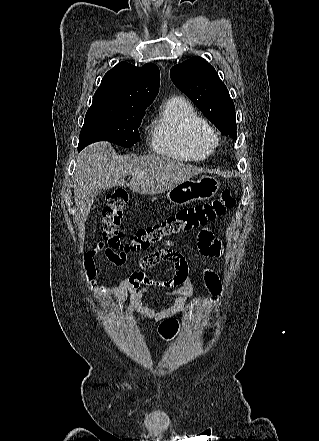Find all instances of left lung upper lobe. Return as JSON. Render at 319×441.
Here are the masks:
<instances>
[{
  "instance_id": "5c2ea615",
  "label": "left lung upper lobe",
  "mask_w": 319,
  "mask_h": 441,
  "mask_svg": "<svg viewBox=\"0 0 319 441\" xmlns=\"http://www.w3.org/2000/svg\"><path fill=\"white\" fill-rule=\"evenodd\" d=\"M170 77L222 134L237 138L234 103L212 65L192 57L172 67Z\"/></svg>"
}]
</instances>
